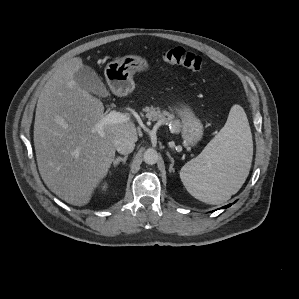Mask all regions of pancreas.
Wrapping results in <instances>:
<instances>
[{"label": "pancreas", "instance_id": "obj_1", "mask_svg": "<svg viewBox=\"0 0 299 299\" xmlns=\"http://www.w3.org/2000/svg\"><path fill=\"white\" fill-rule=\"evenodd\" d=\"M144 111L146 112L145 116L148 120L159 121L161 123L168 122L172 127L171 132L179 133L181 131V123L175 119L173 114L154 107H145Z\"/></svg>", "mask_w": 299, "mask_h": 299}]
</instances>
